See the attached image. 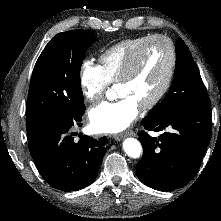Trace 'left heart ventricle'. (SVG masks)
Listing matches in <instances>:
<instances>
[{
    "mask_svg": "<svg viewBox=\"0 0 221 221\" xmlns=\"http://www.w3.org/2000/svg\"><path fill=\"white\" fill-rule=\"evenodd\" d=\"M170 51L166 42L155 41L144 51L134 77L117 85L119 96L132 98L139 107L147 103L162 86L169 69Z\"/></svg>",
    "mask_w": 221,
    "mask_h": 221,
    "instance_id": "obj_1",
    "label": "left heart ventricle"
}]
</instances>
